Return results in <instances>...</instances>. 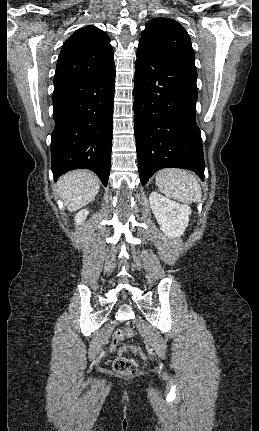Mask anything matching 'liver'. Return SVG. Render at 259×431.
<instances>
[{
    "label": "liver",
    "instance_id": "1",
    "mask_svg": "<svg viewBox=\"0 0 259 431\" xmlns=\"http://www.w3.org/2000/svg\"><path fill=\"white\" fill-rule=\"evenodd\" d=\"M100 188L98 177L88 170H74L58 181V192L70 212L90 203Z\"/></svg>",
    "mask_w": 259,
    "mask_h": 431
}]
</instances>
